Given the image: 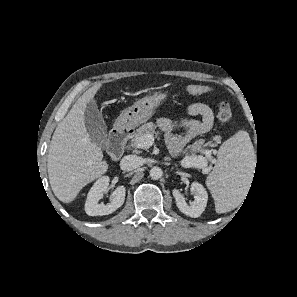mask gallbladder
Segmentation results:
<instances>
[{
  "label": "gallbladder",
  "mask_w": 297,
  "mask_h": 297,
  "mask_svg": "<svg viewBox=\"0 0 297 297\" xmlns=\"http://www.w3.org/2000/svg\"><path fill=\"white\" fill-rule=\"evenodd\" d=\"M84 123L91 140L100 148H105L107 144V126L93 99L87 103Z\"/></svg>",
  "instance_id": "bac80fb5"
}]
</instances>
